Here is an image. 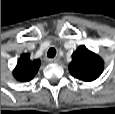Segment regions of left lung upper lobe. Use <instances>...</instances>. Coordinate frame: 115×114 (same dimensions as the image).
<instances>
[{
	"mask_svg": "<svg viewBox=\"0 0 115 114\" xmlns=\"http://www.w3.org/2000/svg\"><path fill=\"white\" fill-rule=\"evenodd\" d=\"M103 68V60L83 45L72 54V62L69 64L71 75L86 82L97 79Z\"/></svg>",
	"mask_w": 115,
	"mask_h": 114,
	"instance_id": "1",
	"label": "left lung upper lobe"
}]
</instances>
